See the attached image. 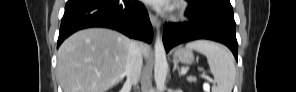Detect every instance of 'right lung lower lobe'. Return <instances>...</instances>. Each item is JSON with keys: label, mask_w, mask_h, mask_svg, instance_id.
<instances>
[{"label": "right lung lower lobe", "mask_w": 296, "mask_h": 92, "mask_svg": "<svg viewBox=\"0 0 296 92\" xmlns=\"http://www.w3.org/2000/svg\"><path fill=\"white\" fill-rule=\"evenodd\" d=\"M89 27H106L150 43L153 29L141 2L133 0H68L57 47L72 33Z\"/></svg>", "instance_id": "1"}]
</instances>
